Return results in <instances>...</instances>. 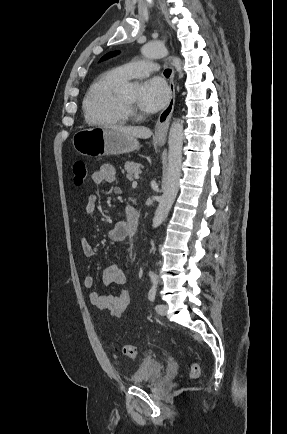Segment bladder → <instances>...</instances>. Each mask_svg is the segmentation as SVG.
<instances>
[{
  "label": "bladder",
  "instance_id": "obj_1",
  "mask_svg": "<svg viewBox=\"0 0 287 434\" xmlns=\"http://www.w3.org/2000/svg\"><path fill=\"white\" fill-rule=\"evenodd\" d=\"M164 368V364L160 360L154 356H148L130 376L129 382L135 386L149 385L160 378Z\"/></svg>",
  "mask_w": 287,
  "mask_h": 434
}]
</instances>
